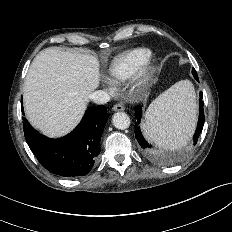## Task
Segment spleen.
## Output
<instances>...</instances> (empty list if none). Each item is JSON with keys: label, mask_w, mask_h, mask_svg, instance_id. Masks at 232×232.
Instances as JSON below:
<instances>
[{"label": "spleen", "mask_w": 232, "mask_h": 232, "mask_svg": "<svg viewBox=\"0 0 232 232\" xmlns=\"http://www.w3.org/2000/svg\"><path fill=\"white\" fill-rule=\"evenodd\" d=\"M196 95L192 83L174 84L146 111L142 128L145 136L165 149H179L191 137L196 122Z\"/></svg>", "instance_id": "1"}]
</instances>
